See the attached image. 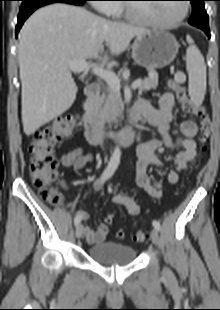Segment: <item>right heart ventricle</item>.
Wrapping results in <instances>:
<instances>
[{"label": "right heart ventricle", "mask_w": 220, "mask_h": 310, "mask_svg": "<svg viewBox=\"0 0 220 310\" xmlns=\"http://www.w3.org/2000/svg\"><path fill=\"white\" fill-rule=\"evenodd\" d=\"M121 13H122L121 8H118V7L112 12V14L115 16H120Z\"/></svg>", "instance_id": "e07e8e85"}]
</instances>
